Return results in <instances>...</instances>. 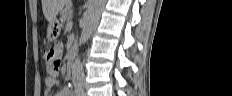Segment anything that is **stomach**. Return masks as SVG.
<instances>
[{
  "label": "stomach",
  "instance_id": "stomach-1",
  "mask_svg": "<svg viewBox=\"0 0 232 96\" xmlns=\"http://www.w3.org/2000/svg\"><path fill=\"white\" fill-rule=\"evenodd\" d=\"M60 30H61V24H59L57 19L50 22L49 27H48V39L50 41L56 40V38L60 34Z\"/></svg>",
  "mask_w": 232,
  "mask_h": 96
}]
</instances>
